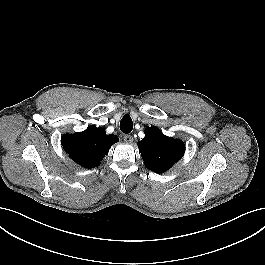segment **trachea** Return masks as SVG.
I'll list each match as a JSON object with an SVG mask.
<instances>
[{"mask_svg": "<svg viewBox=\"0 0 265 265\" xmlns=\"http://www.w3.org/2000/svg\"><path fill=\"white\" fill-rule=\"evenodd\" d=\"M132 129H133L132 119L128 114H126L123 116V118L120 121V130L123 133L128 134L132 131Z\"/></svg>", "mask_w": 265, "mask_h": 265, "instance_id": "obj_1", "label": "trachea"}]
</instances>
